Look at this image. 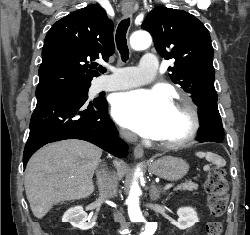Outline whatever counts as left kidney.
I'll list each match as a JSON object with an SVG mask.
<instances>
[{
	"mask_svg": "<svg viewBox=\"0 0 250 235\" xmlns=\"http://www.w3.org/2000/svg\"><path fill=\"white\" fill-rule=\"evenodd\" d=\"M178 220L174 225L180 230H186L199 222L195 209L191 207H181L177 210Z\"/></svg>",
	"mask_w": 250,
	"mask_h": 235,
	"instance_id": "5707ae66",
	"label": "left kidney"
}]
</instances>
